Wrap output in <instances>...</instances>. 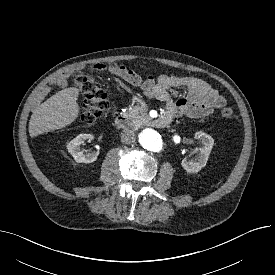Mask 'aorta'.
Segmentation results:
<instances>
[{"mask_svg": "<svg viewBox=\"0 0 275 275\" xmlns=\"http://www.w3.org/2000/svg\"><path fill=\"white\" fill-rule=\"evenodd\" d=\"M139 143L141 146L149 151L157 152L162 147L161 136L152 129H145L140 132Z\"/></svg>", "mask_w": 275, "mask_h": 275, "instance_id": "1", "label": "aorta"}]
</instances>
